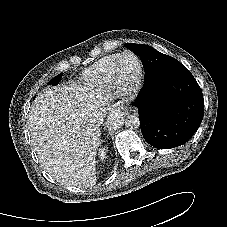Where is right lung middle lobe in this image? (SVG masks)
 Masks as SVG:
<instances>
[{
	"label": "right lung middle lobe",
	"instance_id": "dd1d6c3e",
	"mask_svg": "<svg viewBox=\"0 0 227 227\" xmlns=\"http://www.w3.org/2000/svg\"><path fill=\"white\" fill-rule=\"evenodd\" d=\"M63 74H59L57 76H55L50 82L49 84H53V85H57L59 83V81L61 80Z\"/></svg>",
	"mask_w": 227,
	"mask_h": 227
}]
</instances>
